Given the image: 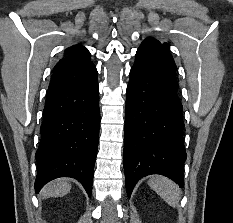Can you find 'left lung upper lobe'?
<instances>
[{"mask_svg": "<svg viewBox=\"0 0 233 223\" xmlns=\"http://www.w3.org/2000/svg\"><path fill=\"white\" fill-rule=\"evenodd\" d=\"M162 45H164L165 47L169 48V44L168 43H163Z\"/></svg>", "mask_w": 233, "mask_h": 223, "instance_id": "left-lung-upper-lobe-1", "label": "left lung upper lobe"}]
</instances>
